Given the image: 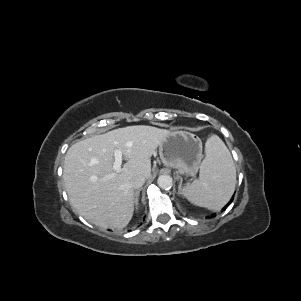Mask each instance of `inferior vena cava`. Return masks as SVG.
I'll use <instances>...</instances> for the list:
<instances>
[{
  "instance_id": "inferior-vena-cava-1",
  "label": "inferior vena cava",
  "mask_w": 301,
  "mask_h": 301,
  "mask_svg": "<svg viewBox=\"0 0 301 301\" xmlns=\"http://www.w3.org/2000/svg\"><path fill=\"white\" fill-rule=\"evenodd\" d=\"M145 181H146L145 175H143V174L136 175L131 181V186L134 189H139L140 187H142L144 185Z\"/></svg>"
}]
</instances>
